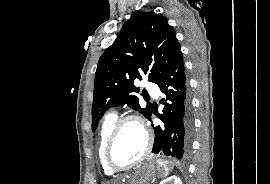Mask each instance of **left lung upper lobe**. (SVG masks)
Wrapping results in <instances>:
<instances>
[{
  "label": "left lung upper lobe",
  "instance_id": "obj_1",
  "mask_svg": "<svg viewBox=\"0 0 270 184\" xmlns=\"http://www.w3.org/2000/svg\"><path fill=\"white\" fill-rule=\"evenodd\" d=\"M180 44L166 19L154 12L138 11L125 22L114 41L100 57L95 73L92 105V130L95 131L105 110L127 104L150 120L152 106L139 105L134 80L158 83L164 76Z\"/></svg>",
  "mask_w": 270,
  "mask_h": 184
}]
</instances>
